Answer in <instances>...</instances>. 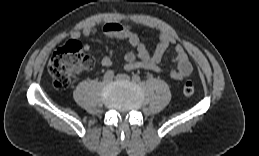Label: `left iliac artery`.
Wrapping results in <instances>:
<instances>
[{
    "label": "left iliac artery",
    "mask_w": 259,
    "mask_h": 156,
    "mask_svg": "<svg viewBox=\"0 0 259 156\" xmlns=\"http://www.w3.org/2000/svg\"><path fill=\"white\" fill-rule=\"evenodd\" d=\"M132 80H133L134 82H139V81H140V76L137 75V74H135V75L132 76Z\"/></svg>",
    "instance_id": "left-iliac-artery-1"
}]
</instances>
